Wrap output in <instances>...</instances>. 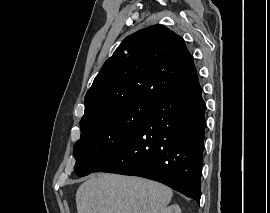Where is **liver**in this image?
<instances>
[{
  "label": "liver",
  "instance_id": "liver-1",
  "mask_svg": "<svg viewBox=\"0 0 270 213\" xmlns=\"http://www.w3.org/2000/svg\"><path fill=\"white\" fill-rule=\"evenodd\" d=\"M170 188L143 178L98 174L76 193L78 213H160L170 203Z\"/></svg>",
  "mask_w": 270,
  "mask_h": 213
}]
</instances>
